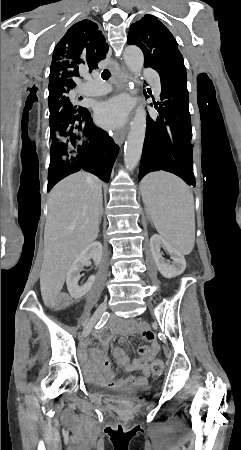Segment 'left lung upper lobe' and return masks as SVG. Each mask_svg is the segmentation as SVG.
<instances>
[{
	"instance_id": "left-lung-upper-lobe-1",
	"label": "left lung upper lobe",
	"mask_w": 241,
	"mask_h": 450,
	"mask_svg": "<svg viewBox=\"0 0 241 450\" xmlns=\"http://www.w3.org/2000/svg\"><path fill=\"white\" fill-rule=\"evenodd\" d=\"M127 41L143 51L145 66L158 67L183 61L173 35L153 15H145L132 24Z\"/></svg>"
}]
</instances>
